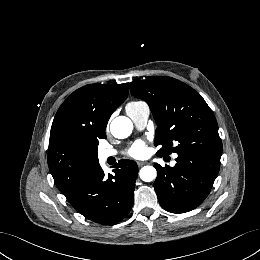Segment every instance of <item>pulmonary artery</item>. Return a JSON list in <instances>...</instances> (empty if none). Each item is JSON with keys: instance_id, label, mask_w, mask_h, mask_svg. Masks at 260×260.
<instances>
[{"instance_id": "e3ab8cb5", "label": "pulmonary artery", "mask_w": 260, "mask_h": 260, "mask_svg": "<svg viewBox=\"0 0 260 260\" xmlns=\"http://www.w3.org/2000/svg\"><path fill=\"white\" fill-rule=\"evenodd\" d=\"M126 113L131 118L137 129H143L148 121L150 110L147 104L127 105ZM102 159L115 156L117 151L115 149H102L99 151Z\"/></svg>"}]
</instances>
